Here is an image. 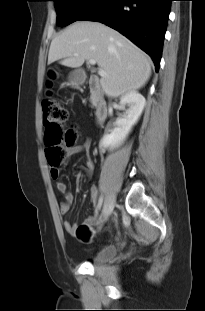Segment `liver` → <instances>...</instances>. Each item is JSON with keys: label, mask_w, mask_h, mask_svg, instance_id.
<instances>
[{"label": "liver", "mask_w": 205, "mask_h": 311, "mask_svg": "<svg viewBox=\"0 0 205 311\" xmlns=\"http://www.w3.org/2000/svg\"><path fill=\"white\" fill-rule=\"evenodd\" d=\"M91 59L107 73L99 82L111 98L140 89L151 75L150 57L118 31L99 22L77 21L51 42L48 64L61 60L64 66L79 68Z\"/></svg>", "instance_id": "6515ba94"}]
</instances>
